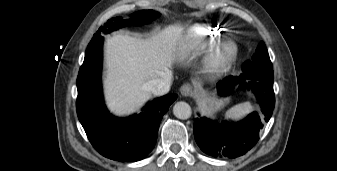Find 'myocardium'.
Wrapping results in <instances>:
<instances>
[{
	"label": "myocardium",
	"instance_id": "myocardium-1",
	"mask_svg": "<svg viewBox=\"0 0 337 171\" xmlns=\"http://www.w3.org/2000/svg\"><path fill=\"white\" fill-rule=\"evenodd\" d=\"M238 54L237 44L233 41L218 42L211 47L205 58L208 72L219 74L227 71Z\"/></svg>",
	"mask_w": 337,
	"mask_h": 171
}]
</instances>
